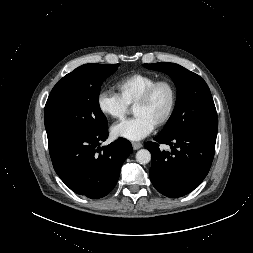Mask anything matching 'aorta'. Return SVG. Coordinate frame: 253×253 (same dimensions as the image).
<instances>
[{
    "instance_id": "1",
    "label": "aorta",
    "mask_w": 253,
    "mask_h": 253,
    "mask_svg": "<svg viewBox=\"0 0 253 253\" xmlns=\"http://www.w3.org/2000/svg\"><path fill=\"white\" fill-rule=\"evenodd\" d=\"M151 160V154L147 149H141L136 153V161L140 164H147Z\"/></svg>"
}]
</instances>
